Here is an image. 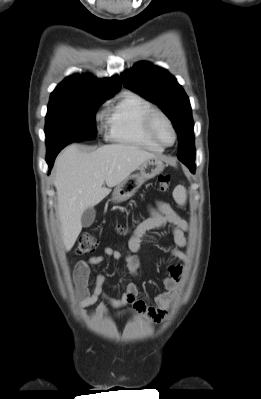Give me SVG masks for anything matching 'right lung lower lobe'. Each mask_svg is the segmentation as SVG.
<instances>
[{
    "instance_id": "98d812e1",
    "label": "right lung lower lobe",
    "mask_w": 261,
    "mask_h": 399,
    "mask_svg": "<svg viewBox=\"0 0 261 399\" xmlns=\"http://www.w3.org/2000/svg\"><path fill=\"white\" fill-rule=\"evenodd\" d=\"M66 145H61V146H57V147H49L47 148V158L46 161L49 165V168L51 169L53 167L55 158L57 156V154L61 151V149H63Z\"/></svg>"
}]
</instances>
